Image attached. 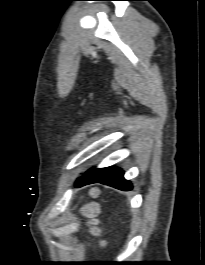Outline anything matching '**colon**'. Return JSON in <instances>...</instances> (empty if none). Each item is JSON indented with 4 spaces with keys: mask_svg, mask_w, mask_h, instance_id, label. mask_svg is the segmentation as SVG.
Wrapping results in <instances>:
<instances>
[{
    "mask_svg": "<svg viewBox=\"0 0 205 265\" xmlns=\"http://www.w3.org/2000/svg\"><path fill=\"white\" fill-rule=\"evenodd\" d=\"M83 215L88 219L89 224L94 226L96 223V216L98 214V207L95 203L89 202L82 208Z\"/></svg>",
    "mask_w": 205,
    "mask_h": 265,
    "instance_id": "colon-1",
    "label": "colon"
}]
</instances>
